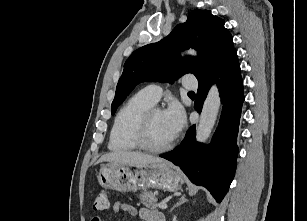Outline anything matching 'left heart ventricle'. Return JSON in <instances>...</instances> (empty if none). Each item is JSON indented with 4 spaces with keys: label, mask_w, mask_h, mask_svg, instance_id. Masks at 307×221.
Instances as JSON below:
<instances>
[{
    "label": "left heart ventricle",
    "mask_w": 307,
    "mask_h": 221,
    "mask_svg": "<svg viewBox=\"0 0 307 221\" xmlns=\"http://www.w3.org/2000/svg\"><path fill=\"white\" fill-rule=\"evenodd\" d=\"M164 112H156L151 120L148 140L154 146H161L172 139Z\"/></svg>",
    "instance_id": "obj_1"
}]
</instances>
